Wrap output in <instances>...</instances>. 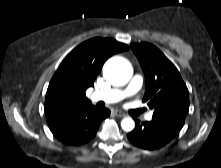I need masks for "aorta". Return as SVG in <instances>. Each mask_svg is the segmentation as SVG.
I'll use <instances>...</instances> for the list:
<instances>
[{
    "instance_id": "1",
    "label": "aorta",
    "mask_w": 221,
    "mask_h": 168,
    "mask_svg": "<svg viewBox=\"0 0 221 168\" xmlns=\"http://www.w3.org/2000/svg\"><path fill=\"white\" fill-rule=\"evenodd\" d=\"M132 74L130 62L123 57H112L103 67L104 78L115 86L127 84ZM121 127L124 131L130 132L135 128V122L131 117H125L121 121Z\"/></svg>"
}]
</instances>
